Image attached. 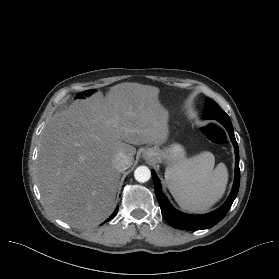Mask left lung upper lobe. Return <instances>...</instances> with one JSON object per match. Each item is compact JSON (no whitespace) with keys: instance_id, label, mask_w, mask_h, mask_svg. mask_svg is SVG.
I'll return each mask as SVG.
<instances>
[{"instance_id":"5c2ea615","label":"left lung upper lobe","mask_w":279,"mask_h":279,"mask_svg":"<svg viewBox=\"0 0 279 279\" xmlns=\"http://www.w3.org/2000/svg\"><path fill=\"white\" fill-rule=\"evenodd\" d=\"M204 118L217 120L220 123L222 121L230 122L229 116L211 99L207 98L205 102Z\"/></svg>"}]
</instances>
